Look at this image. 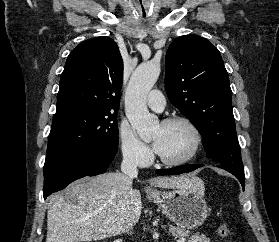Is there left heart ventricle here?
<instances>
[{
    "mask_svg": "<svg viewBox=\"0 0 279 242\" xmlns=\"http://www.w3.org/2000/svg\"><path fill=\"white\" fill-rule=\"evenodd\" d=\"M152 140L159 145L158 153L167 159L184 157L193 145L192 132L181 123L158 124L152 133Z\"/></svg>",
    "mask_w": 279,
    "mask_h": 242,
    "instance_id": "obj_1",
    "label": "left heart ventricle"
}]
</instances>
